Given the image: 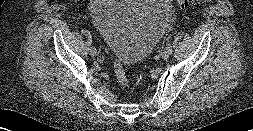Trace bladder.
I'll return each instance as SVG.
<instances>
[{
	"label": "bladder",
	"instance_id": "1",
	"mask_svg": "<svg viewBox=\"0 0 253 131\" xmlns=\"http://www.w3.org/2000/svg\"><path fill=\"white\" fill-rule=\"evenodd\" d=\"M93 24L120 63L143 61L172 17L170 0H90Z\"/></svg>",
	"mask_w": 253,
	"mask_h": 131
}]
</instances>
